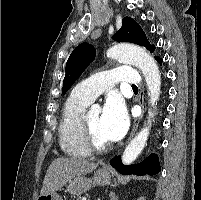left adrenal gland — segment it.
<instances>
[{
    "mask_svg": "<svg viewBox=\"0 0 201 200\" xmlns=\"http://www.w3.org/2000/svg\"><path fill=\"white\" fill-rule=\"evenodd\" d=\"M110 200H118V196L115 195V193L112 191L110 192Z\"/></svg>",
    "mask_w": 201,
    "mask_h": 200,
    "instance_id": "obj_1",
    "label": "left adrenal gland"
}]
</instances>
